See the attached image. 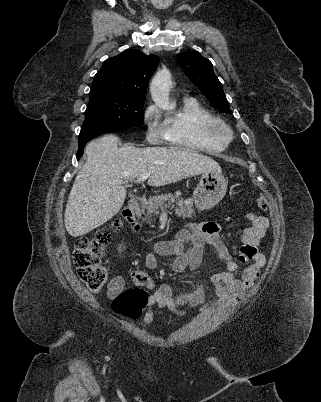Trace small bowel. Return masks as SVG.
<instances>
[{
  "label": "small bowel",
  "instance_id": "obj_1",
  "mask_svg": "<svg viewBox=\"0 0 321 402\" xmlns=\"http://www.w3.org/2000/svg\"><path fill=\"white\" fill-rule=\"evenodd\" d=\"M269 228V220L263 215L251 213L249 226L240 234L242 245L238 253V260L247 263L240 268L238 261L232 255L221 238V227L214 222L205 224H188L180 230L171 241H160L153 245L145 255V266L154 269L158 266L159 257L172 256V270L183 273L186 269L197 271L208 251H211L226 267L225 272H219L212 276L216 285L215 303L226 308L240 302L248 288L259 277L266 264V257L260 251L259 245ZM189 244L190 248L184 251L183 246ZM135 282L140 283L151 295L147 304L143 322L150 325L154 320V308H166L178 316L186 315L183 306L200 308L206 301V291L202 285H197L193 290L174 294L168 284L155 286L143 270H133L131 274ZM125 288V279L122 276H114L108 287V297L113 299Z\"/></svg>",
  "mask_w": 321,
  "mask_h": 402
}]
</instances>
